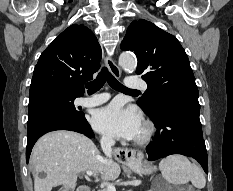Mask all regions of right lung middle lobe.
I'll use <instances>...</instances> for the list:
<instances>
[{
    "mask_svg": "<svg viewBox=\"0 0 233 191\" xmlns=\"http://www.w3.org/2000/svg\"><path fill=\"white\" fill-rule=\"evenodd\" d=\"M76 96H70L59 92L47 91L39 93L29 99L28 113H32L35 109L40 107H50L62 110L64 112L75 115H82L84 113L79 111L73 104Z\"/></svg>",
    "mask_w": 233,
    "mask_h": 191,
    "instance_id": "1",
    "label": "right lung middle lobe"
}]
</instances>
